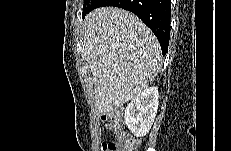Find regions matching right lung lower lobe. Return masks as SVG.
Masks as SVG:
<instances>
[{"label": "right lung lower lobe", "instance_id": "right-lung-lower-lobe-1", "mask_svg": "<svg viewBox=\"0 0 231 151\" xmlns=\"http://www.w3.org/2000/svg\"><path fill=\"white\" fill-rule=\"evenodd\" d=\"M102 6H116L137 15L157 37L162 54L168 51L170 38V0H93L86 14Z\"/></svg>", "mask_w": 231, "mask_h": 151}]
</instances>
